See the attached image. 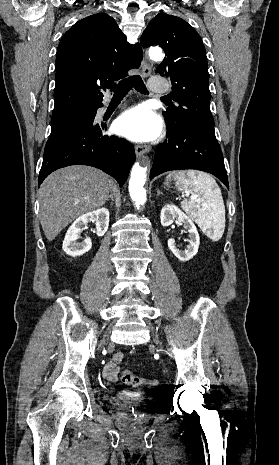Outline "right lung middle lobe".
<instances>
[{
	"label": "right lung middle lobe",
	"instance_id": "right-lung-middle-lobe-1",
	"mask_svg": "<svg viewBox=\"0 0 279 465\" xmlns=\"http://www.w3.org/2000/svg\"><path fill=\"white\" fill-rule=\"evenodd\" d=\"M89 117L91 116L83 113L70 121L52 126L50 137L45 146V152L54 148L70 134L82 129L85 123L89 120Z\"/></svg>",
	"mask_w": 279,
	"mask_h": 465
}]
</instances>
